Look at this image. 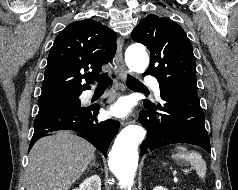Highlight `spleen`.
Returning <instances> with one entry per match:
<instances>
[{
  "label": "spleen",
  "mask_w": 238,
  "mask_h": 190,
  "mask_svg": "<svg viewBox=\"0 0 238 190\" xmlns=\"http://www.w3.org/2000/svg\"><path fill=\"white\" fill-rule=\"evenodd\" d=\"M175 149L178 152L176 154H172V158L178 161L180 160L190 163L191 166H193L196 170L199 178L204 179L207 167L205 161L202 159V156L195 151L189 152L185 147L182 146H178Z\"/></svg>",
  "instance_id": "obj_1"
}]
</instances>
